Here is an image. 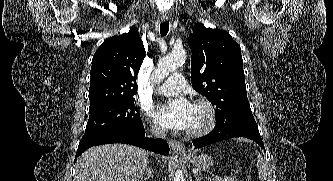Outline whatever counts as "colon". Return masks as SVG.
Returning <instances> with one entry per match:
<instances>
[{
	"label": "colon",
	"mask_w": 333,
	"mask_h": 181,
	"mask_svg": "<svg viewBox=\"0 0 333 181\" xmlns=\"http://www.w3.org/2000/svg\"><path fill=\"white\" fill-rule=\"evenodd\" d=\"M247 181H251V178H250V177H248V178H247Z\"/></svg>",
	"instance_id": "5ec220e1"
}]
</instances>
